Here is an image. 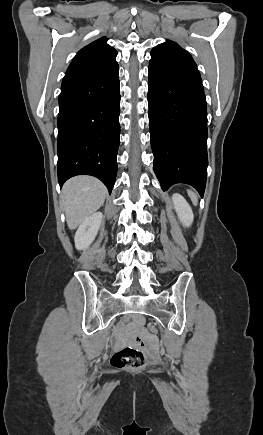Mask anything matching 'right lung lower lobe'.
<instances>
[{
    "label": "right lung lower lobe",
    "mask_w": 263,
    "mask_h": 435,
    "mask_svg": "<svg viewBox=\"0 0 263 435\" xmlns=\"http://www.w3.org/2000/svg\"><path fill=\"white\" fill-rule=\"evenodd\" d=\"M119 66L62 83L58 114V182L99 178L111 193L120 135Z\"/></svg>",
    "instance_id": "right-lung-lower-lobe-1"
}]
</instances>
